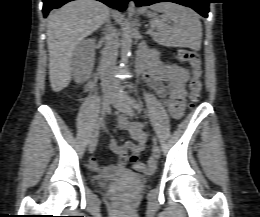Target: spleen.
<instances>
[{
  "instance_id": "1",
  "label": "spleen",
  "mask_w": 260,
  "mask_h": 217,
  "mask_svg": "<svg viewBox=\"0 0 260 217\" xmlns=\"http://www.w3.org/2000/svg\"><path fill=\"white\" fill-rule=\"evenodd\" d=\"M152 9L163 13L160 19L155 17L150 21L156 42L164 46L200 48L202 26L192 9L175 3H158ZM169 20L173 21V25L168 24Z\"/></svg>"
}]
</instances>
